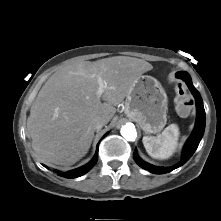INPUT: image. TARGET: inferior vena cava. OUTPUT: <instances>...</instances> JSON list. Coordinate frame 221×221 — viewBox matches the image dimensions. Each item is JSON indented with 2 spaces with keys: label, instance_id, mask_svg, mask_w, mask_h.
I'll return each mask as SVG.
<instances>
[{
  "label": "inferior vena cava",
  "instance_id": "obj_1",
  "mask_svg": "<svg viewBox=\"0 0 221 221\" xmlns=\"http://www.w3.org/2000/svg\"><path fill=\"white\" fill-rule=\"evenodd\" d=\"M91 124L95 130L96 129L98 130V129H101L105 125V122L100 118H96L92 120Z\"/></svg>",
  "mask_w": 221,
  "mask_h": 221
}]
</instances>
